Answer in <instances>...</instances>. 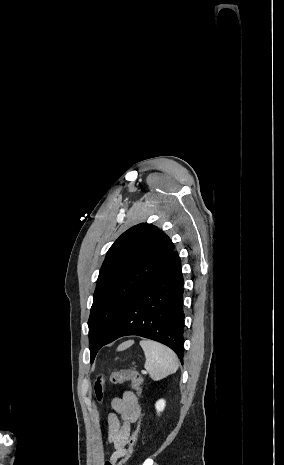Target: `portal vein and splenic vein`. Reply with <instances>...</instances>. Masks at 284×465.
Listing matches in <instances>:
<instances>
[{
    "label": "portal vein and splenic vein",
    "mask_w": 284,
    "mask_h": 465,
    "mask_svg": "<svg viewBox=\"0 0 284 465\" xmlns=\"http://www.w3.org/2000/svg\"><path fill=\"white\" fill-rule=\"evenodd\" d=\"M141 373H143V375H147L146 371H141Z\"/></svg>",
    "instance_id": "18ae733b"
}]
</instances>
